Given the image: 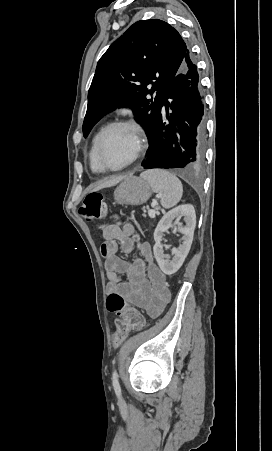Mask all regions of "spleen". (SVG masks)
I'll return each mask as SVG.
<instances>
[{
    "label": "spleen",
    "mask_w": 272,
    "mask_h": 451,
    "mask_svg": "<svg viewBox=\"0 0 272 451\" xmlns=\"http://www.w3.org/2000/svg\"><path fill=\"white\" fill-rule=\"evenodd\" d=\"M140 178L147 180L155 194H161L160 204L163 208H173L180 202L183 186L174 174L166 170H147L140 174Z\"/></svg>",
    "instance_id": "obj_1"
}]
</instances>
